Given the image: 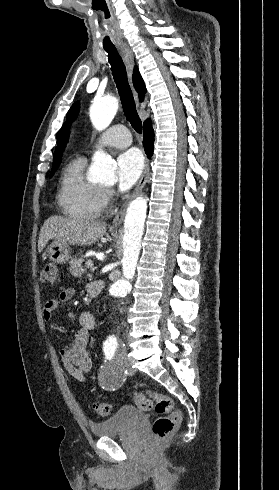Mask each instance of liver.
Segmentation results:
<instances>
[{"mask_svg":"<svg viewBox=\"0 0 279 490\" xmlns=\"http://www.w3.org/2000/svg\"><path fill=\"white\" fill-rule=\"evenodd\" d=\"M107 224L85 218L51 216L44 222L38 240V252L44 250L49 240L72 246H89L106 234Z\"/></svg>","mask_w":279,"mask_h":490,"instance_id":"obj_1","label":"liver"}]
</instances>
